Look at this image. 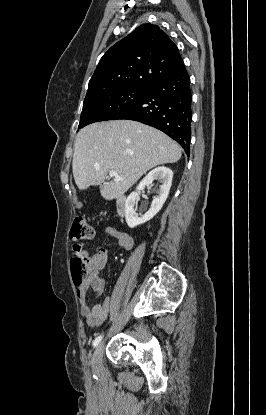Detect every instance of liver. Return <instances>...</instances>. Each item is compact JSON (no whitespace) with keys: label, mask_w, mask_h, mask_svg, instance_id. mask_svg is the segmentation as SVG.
I'll return each mask as SVG.
<instances>
[{"label":"liver","mask_w":266,"mask_h":415,"mask_svg":"<svg viewBox=\"0 0 266 415\" xmlns=\"http://www.w3.org/2000/svg\"><path fill=\"white\" fill-rule=\"evenodd\" d=\"M181 147L163 132L131 120L93 123L82 128L75 139L73 176L80 190L100 186L106 200L121 197L148 170L175 163ZM114 170L123 180L107 182Z\"/></svg>","instance_id":"liver-1"}]
</instances>
